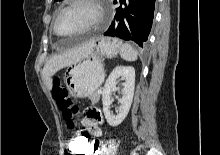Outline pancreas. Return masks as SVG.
Returning <instances> with one entry per match:
<instances>
[{
	"mask_svg": "<svg viewBox=\"0 0 220 155\" xmlns=\"http://www.w3.org/2000/svg\"><path fill=\"white\" fill-rule=\"evenodd\" d=\"M92 104H97L100 100V94L96 92L94 95L90 97Z\"/></svg>",
	"mask_w": 220,
	"mask_h": 155,
	"instance_id": "cf45deb5",
	"label": "pancreas"
}]
</instances>
